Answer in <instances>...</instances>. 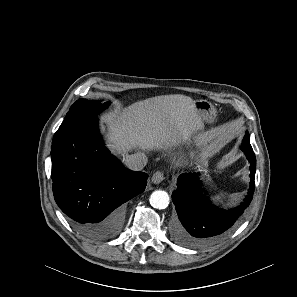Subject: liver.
I'll return each instance as SVG.
<instances>
[{
	"instance_id": "1",
	"label": "liver",
	"mask_w": 297,
	"mask_h": 297,
	"mask_svg": "<svg viewBox=\"0 0 297 297\" xmlns=\"http://www.w3.org/2000/svg\"><path fill=\"white\" fill-rule=\"evenodd\" d=\"M107 142L116 155L133 148L167 150L191 138L203 139V120L194 100L175 94L148 98L104 116Z\"/></svg>"
}]
</instances>
